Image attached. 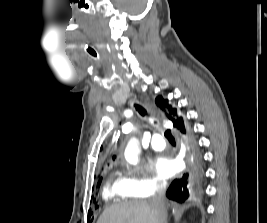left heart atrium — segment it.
I'll return each mask as SVG.
<instances>
[{
    "mask_svg": "<svg viewBox=\"0 0 267 223\" xmlns=\"http://www.w3.org/2000/svg\"><path fill=\"white\" fill-rule=\"evenodd\" d=\"M177 170L178 166L171 157H159L156 161V171L162 178H170Z\"/></svg>",
    "mask_w": 267,
    "mask_h": 223,
    "instance_id": "1",
    "label": "left heart atrium"
}]
</instances>
